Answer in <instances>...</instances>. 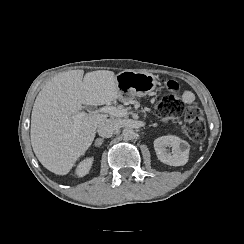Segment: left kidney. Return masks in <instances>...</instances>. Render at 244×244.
<instances>
[{
	"instance_id": "left-kidney-1",
	"label": "left kidney",
	"mask_w": 244,
	"mask_h": 244,
	"mask_svg": "<svg viewBox=\"0 0 244 244\" xmlns=\"http://www.w3.org/2000/svg\"><path fill=\"white\" fill-rule=\"evenodd\" d=\"M166 147L172 148V153ZM154 149L158 159L170 166H182L188 162L189 144L174 135L161 136L154 140Z\"/></svg>"
}]
</instances>
